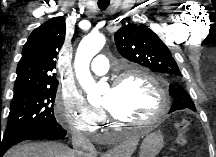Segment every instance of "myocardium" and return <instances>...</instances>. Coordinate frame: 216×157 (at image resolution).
<instances>
[{
	"mask_svg": "<svg viewBox=\"0 0 216 157\" xmlns=\"http://www.w3.org/2000/svg\"><path fill=\"white\" fill-rule=\"evenodd\" d=\"M131 77H139L147 82H149L159 97V106L155 114L147 119V120H140V121H130L127 119H122L114 115L107 107H104L110 122L114 125H125V126H148L154 125L161 121L169 108V98L166 92V89L159 83V81L147 71L139 68L129 69L126 72L116 76L111 83L112 88H118L127 78Z\"/></svg>",
	"mask_w": 216,
	"mask_h": 157,
	"instance_id": "myocardium-1",
	"label": "myocardium"
}]
</instances>
